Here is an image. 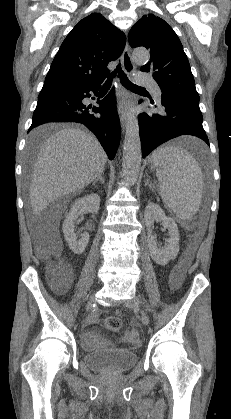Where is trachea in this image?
Returning <instances> with one entry per match:
<instances>
[{"instance_id": "3493384b", "label": "trachea", "mask_w": 231, "mask_h": 419, "mask_svg": "<svg viewBox=\"0 0 231 419\" xmlns=\"http://www.w3.org/2000/svg\"><path fill=\"white\" fill-rule=\"evenodd\" d=\"M118 73V76L120 78V81L122 85L130 90H145V88L140 87L136 84H133L131 81H129L127 75L122 71L121 64H119L114 72H112L109 76L107 81L104 83L103 88H109L112 84V79L116 76Z\"/></svg>"}]
</instances>
